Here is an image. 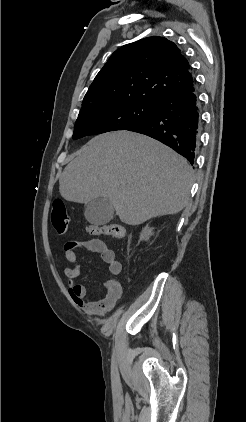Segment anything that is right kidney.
Wrapping results in <instances>:
<instances>
[{"instance_id": "1", "label": "right kidney", "mask_w": 246, "mask_h": 422, "mask_svg": "<svg viewBox=\"0 0 246 422\" xmlns=\"http://www.w3.org/2000/svg\"><path fill=\"white\" fill-rule=\"evenodd\" d=\"M151 235H153V228L147 225L140 234V240L147 241Z\"/></svg>"}]
</instances>
